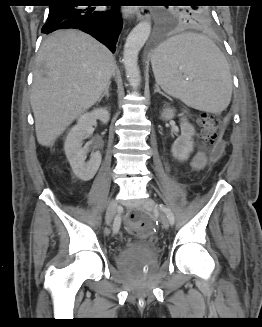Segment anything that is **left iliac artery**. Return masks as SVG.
<instances>
[{"label":"left iliac artery","instance_id":"1","mask_svg":"<svg viewBox=\"0 0 262 327\" xmlns=\"http://www.w3.org/2000/svg\"><path fill=\"white\" fill-rule=\"evenodd\" d=\"M159 207L166 214V216H167V218L169 220V223L171 225H173L174 222H175V218H174V215L171 212V210L168 207H166L164 204H160Z\"/></svg>","mask_w":262,"mask_h":327}]
</instances>
